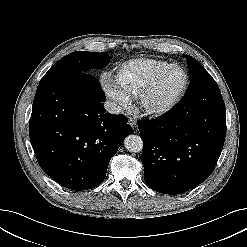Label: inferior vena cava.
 Here are the masks:
<instances>
[{
    "mask_svg": "<svg viewBox=\"0 0 247 247\" xmlns=\"http://www.w3.org/2000/svg\"><path fill=\"white\" fill-rule=\"evenodd\" d=\"M104 108L108 113L113 115H117L122 112V107H120L117 103L111 101H105Z\"/></svg>",
    "mask_w": 247,
    "mask_h": 247,
    "instance_id": "1",
    "label": "inferior vena cava"
}]
</instances>
